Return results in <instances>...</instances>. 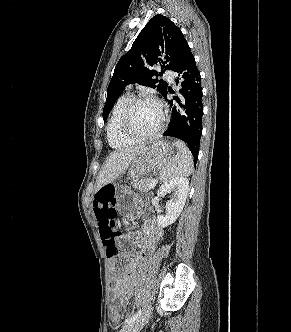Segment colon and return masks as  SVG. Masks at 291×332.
<instances>
[{"label":"colon","instance_id":"colon-1","mask_svg":"<svg viewBox=\"0 0 291 332\" xmlns=\"http://www.w3.org/2000/svg\"><path fill=\"white\" fill-rule=\"evenodd\" d=\"M96 217L99 224L100 236L108 258L118 257L116 240L119 232L116 227L117 211L115 208L114 191L103 190L95 196ZM110 321L117 327L119 313L113 308L110 311Z\"/></svg>","mask_w":291,"mask_h":332}]
</instances>
